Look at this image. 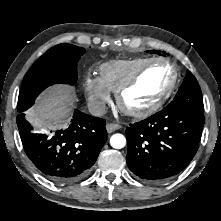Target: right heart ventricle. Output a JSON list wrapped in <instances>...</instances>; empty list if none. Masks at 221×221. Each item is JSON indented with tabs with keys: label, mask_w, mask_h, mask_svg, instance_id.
Listing matches in <instances>:
<instances>
[{
	"label": "right heart ventricle",
	"mask_w": 221,
	"mask_h": 221,
	"mask_svg": "<svg viewBox=\"0 0 221 221\" xmlns=\"http://www.w3.org/2000/svg\"><path fill=\"white\" fill-rule=\"evenodd\" d=\"M151 58L114 59L99 67V78L110 91L117 89Z\"/></svg>",
	"instance_id": "right-heart-ventricle-1"
}]
</instances>
